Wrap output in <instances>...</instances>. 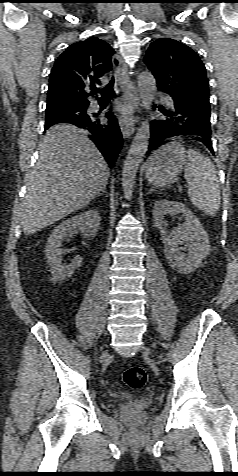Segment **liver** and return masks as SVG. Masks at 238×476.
<instances>
[{"instance_id": "1", "label": "liver", "mask_w": 238, "mask_h": 476, "mask_svg": "<svg viewBox=\"0 0 238 476\" xmlns=\"http://www.w3.org/2000/svg\"><path fill=\"white\" fill-rule=\"evenodd\" d=\"M109 174L108 164L83 130L72 125L50 128L25 180L24 234H34L89 204Z\"/></svg>"}]
</instances>
